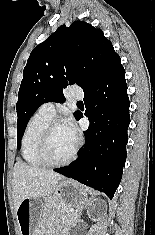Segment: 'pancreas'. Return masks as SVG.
<instances>
[{"instance_id":"1","label":"pancreas","mask_w":155,"mask_h":235,"mask_svg":"<svg viewBox=\"0 0 155 235\" xmlns=\"http://www.w3.org/2000/svg\"><path fill=\"white\" fill-rule=\"evenodd\" d=\"M45 203L47 205L46 212L50 215L61 218L63 221L68 223H75L77 220V214L70 212V208L63 205L60 202H52L50 199H46Z\"/></svg>"}]
</instances>
